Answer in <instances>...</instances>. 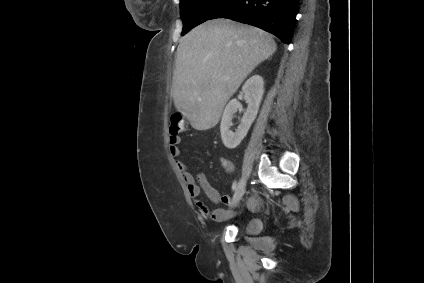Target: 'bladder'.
I'll return each mask as SVG.
<instances>
[{
  "label": "bladder",
  "instance_id": "31cf9c89",
  "mask_svg": "<svg viewBox=\"0 0 424 283\" xmlns=\"http://www.w3.org/2000/svg\"><path fill=\"white\" fill-rule=\"evenodd\" d=\"M261 229V221L259 219H250L244 226V231L249 234L258 233Z\"/></svg>",
  "mask_w": 424,
  "mask_h": 283
}]
</instances>
